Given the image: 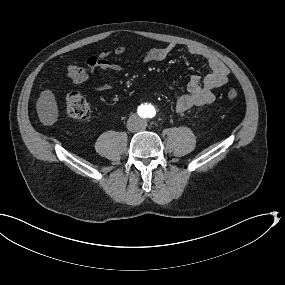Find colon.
Here are the masks:
<instances>
[{"label":"colon","mask_w":285,"mask_h":285,"mask_svg":"<svg viewBox=\"0 0 285 285\" xmlns=\"http://www.w3.org/2000/svg\"><path fill=\"white\" fill-rule=\"evenodd\" d=\"M68 77L76 84L84 82L87 78V73L84 68L69 64ZM227 97L234 100L238 97V92L235 89H230L227 92ZM64 114L72 119L85 120L90 116V107L82 94L79 92H71L67 95L64 108Z\"/></svg>","instance_id":"colon-1"}]
</instances>
